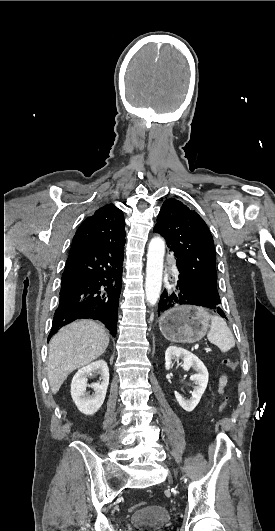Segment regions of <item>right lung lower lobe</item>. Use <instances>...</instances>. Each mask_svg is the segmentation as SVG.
Masks as SVG:
<instances>
[{
    "mask_svg": "<svg viewBox=\"0 0 275 531\" xmlns=\"http://www.w3.org/2000/svg\"><path fill=\"white\" fill-rule=\"evenodd\" d=\"M124 244L104 242L69 254L48 340L60 327L82 318L101 321L116 336Z\"/></svg>",
    "mask_w": 275,
    "mask_h": 531,
    "instance_id": "obj_1",
    "label": "right lung lower lobe"
}]
</instances>
